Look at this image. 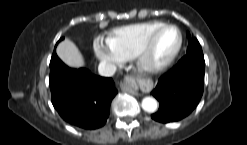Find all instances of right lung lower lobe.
<instances>
[{
	"label": "right lung lower lobe",
	"mask_w": 247,
	"mask_h": 145,
	"mask_svg": "<svg viewBox=\"0 0 247 145\" xmlns=\"http://www.w3.org/2000/svg\"><path fill=\"white\" fill-rule=\"evenodd\" d=\"M49 85L52 104L60 116L90 130L106 123L110 103L117 94L111 78L95 76L84 68H68L55 51L50 61Z\"/></svg>",
	"instance_id": "1"
}]
</instances>
